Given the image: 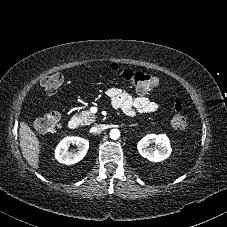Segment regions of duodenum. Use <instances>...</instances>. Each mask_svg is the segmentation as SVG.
Segmentation results:
<instances>
[{
  "instance_id": "obj_1",
  "label": "duodenum",
  "mask_w": 227,
  "mask_h": 227,
  "mask_svg": "<svg viewBox=\"0 0 227 227\" xmlns=\"http://www.w3.org/2000/svg\"><path fill=\"white\" fill-rule=\"evenodd\" d=\"M68 127L71 130H76L79 127V120H78V118L74 117V118L70 119V121L68 123Z\"/></svg>"
}]
</instances>
